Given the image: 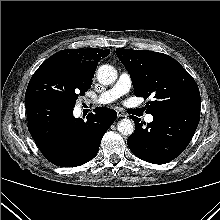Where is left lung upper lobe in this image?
<instances>
[{
    "label": "left lung upper lobe",
    "mask_w": 220,
    "mask_h": 220,
    "mask_svg": "<svg viewBox=\"0 0 220 220\" xmlns=\"http://www.w3.org/2000/svg\"><path fill=\"white\" fill-rule=\"evenodd\" d=\"M116 55L131 76L135 95L145 99L154 97V101L146 104V112L201 105L195 80L171 56L123 48H117Z\"/></svg>",
    "instance_id": "5c2ea615"
}]
</instances>
